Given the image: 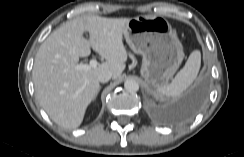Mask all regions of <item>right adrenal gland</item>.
I'll return each mask as SVG.
<instances>
[{"instance_id": "obj_1", "label": "right adrenal gland", "mask_w": 244, "mask_h": 157, "mask_svg": "<svg viewBox=\"0 0 244 157\" xmlns=\"http://www.w3.org/2000/svg\"><path fill=\"white\" fill-rule=\"evenodd\" d=\"M97 95L94 97V100L96 99Z\"/></svg>"}]
</instances>
